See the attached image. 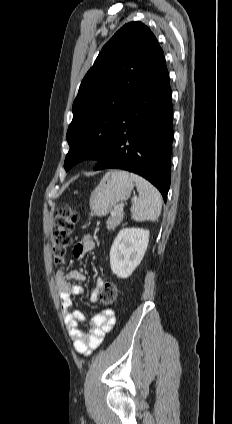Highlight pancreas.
<instances>
[{
    "mask_svg": "<svg viewBox=\"0 0 232 424\" xmlns=\"http://www.w3.org/2000/svg\"><path fill=\"white\" fill-rule=\"evenodd\" d=\"M124 213L115 211L114 215L108 218L106 224L109 230H114L123 220Z\"/></svg>",
    "mask_w": 232,
    "mask_h": 424,
    "instance_id": "obj_1",
    "label": "pancreas"
}]
</instances>
